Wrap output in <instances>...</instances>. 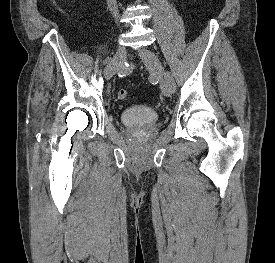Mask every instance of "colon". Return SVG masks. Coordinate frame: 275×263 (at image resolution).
Returning a JSON list of instances; mask_svg holds the SVG:
<instances>
[{"mask_svg": "<svg viewBox=\"0 0 275 263\" xmlns=\"http://www.w3.org/2000/svg\"><path fill=\"white\" fill-rule=\"evenodd\" d=\"M117 97L118 99L120 100H126L130 97L129 93L127 90L125 89H120L118 92H117Z\"/></svg>", "mask_w": 275, "mask_h": 263, "instance_id": "5ec220e1", "label": "colon"}]
</instances>
